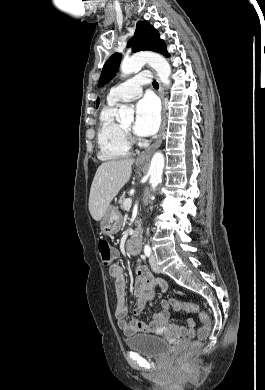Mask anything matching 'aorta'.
Returning <instances> with one entry per match:
<instances>
[{"label":"aorta","mask_w":265,"mask_h":390,"mask_svg":"<svg viewBox=\"0 0 265 390\" xmlns=\"http://www.w3.org/2000/svg\"><path fill=\"white\" fill-rule=\"evenodd\" d=\"M146 63L157 72L161 82L166 87H169L171 67L168 61L160 54L152 52L135 54L132 57L123 60L120 69L123 75H129L140 70ZM119 118L122 123L132 122L134 120L133 108L121 105L119 109ZM163 168L164 155L161 152H156L152 157L149 168L150 184L153 190L157 188L162 180Z\"/></svg>","instance_id":"1"}]
</instances>
